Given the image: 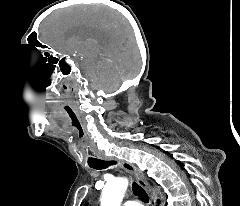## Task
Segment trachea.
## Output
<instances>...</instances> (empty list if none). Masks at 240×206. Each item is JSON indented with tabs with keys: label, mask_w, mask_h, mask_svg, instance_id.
<instances>
[{
	"label": "trachea",
	"mask_w": 240,
	"mask_h": 206,
	"mask_svg": "<svg viewBox=\"0 0 240 206\" xmlns=\"http://www.w3.org/2000/svg\"><path fill=\"white\" fill-rule=\"evenodd\" d=\"M88 164L91 168L101 170L116 164V162L97 159L95 161L89 162ZM132 189L134 194L137 195L142 201L148 202V195L140 185H138L136 182H133Z\"/></svg>",
	"instance_id": "obj_1"
}]
</instances>
